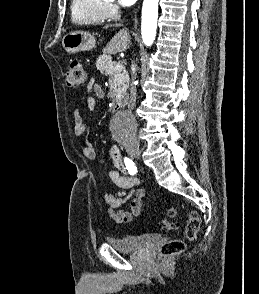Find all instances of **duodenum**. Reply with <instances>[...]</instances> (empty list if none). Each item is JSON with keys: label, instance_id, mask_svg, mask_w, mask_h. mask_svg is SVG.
I'll return each instance as SVG.
<instances>
[{"label": "duodenum", "instance_id": "1", "mask_svg": "<svg viewBox=\"0 0 259 294\" xmlns=\"http://www.w3.org/2000/svg\"><path fill=\"white\" fill-rule=\"evenodd\" d=\"M123 107H124V103H123V101L118 102L117 105H116V108H115V112H116L117 110L122 109Z\"/></svg>", "mask_w": 259, "mask_h": 294}]
</instances>
